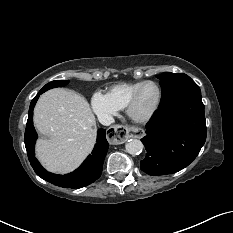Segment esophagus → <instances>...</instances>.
<instances>
[{
    "instance_id": "esophagus-1",
    "label": "esophagus",
    "mask_w": 233,
    "mask_h": 233,
    "mask_svg": "<svg viewBox=\"0 0 233 233\" xmlns=\"http://www.w3.org/2000/svg\"><path fill=\"white\" fill-rule=\"evenodd\" d=\"M143 135V130L140 128L114 125L106 131L105 138L111 144H121L129 137L141 138Z\"/></svg>"
}]
</instances>
